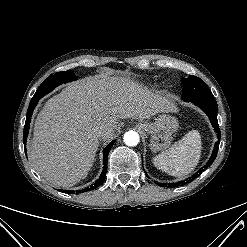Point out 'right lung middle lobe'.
Wrapping results in <instances>:
<instances>
[{
	"label": "right lung middle lobe",
	"instance_id": "dd1d6c3e",
	"mask_svg": "<svg viewBox=\"0 0 247 247\" xmlns=\"http://www.w3.org/2000/svg\"><path fill=\"white\" fill-rule=\"evenodd\" d=\"M77 77L74 75L72 71H62L57 72L56 74H53L49 76L37 89L36 93L34 94L32 100H39L49 92H51L56 86L62 84L71 82L73 80H76Z\"/></svg>",
	"mask_w": 247,
	"mask_h": 247
}]
</instances>
